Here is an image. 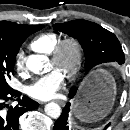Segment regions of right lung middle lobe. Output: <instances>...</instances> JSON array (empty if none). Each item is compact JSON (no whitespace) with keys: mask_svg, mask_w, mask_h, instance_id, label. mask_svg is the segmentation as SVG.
Wrapping results in <instances>:
<instances>
[{"mask_svg":"<svg viewBox=\"0 0 130 130\" xmlns=\"http://www.w3.org/2000/svg\"><path fill=\"white\" fill-rule=\"evenodd\" d=\"M43 25L30 26L24 34L17 39L0 37V85L9 86L8 79L14 75L15 57L21 44L32 33L42 29Z\"/></svg>","mask_w":130,"mask_h":130,"instance_id":"right-lung-middle-lobe-1","label":"right lung middle lobe"}]
</instances>
